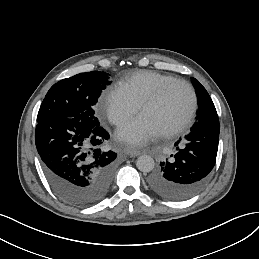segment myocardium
Wrapping results in <instances>:
<instances>
[{
  "label": "myocardium",
  "mask_w": 259,
  "mask_h": 259,
  "mask_svg": "<svg viewBox=\"0 0 259 259\" xmlns=\"http://www.w3.org/2000/svg\"><path fill=\"white\" fill-rule=\"evenodd\" d=\"M177 83L183 84L184 86L187 87V89L189 90L190 95H191V104H190L187 114L173 128H171L163 133H160V136L164 137V138H170V137L177 135L193 119L195 112L197 110V105H198V97H197V93H196L194 86L190 82H188L184 79L175 78V77L171 78V79L163 82L162 84H160L158 86L156 92L151 97L145 99L140 104V108H139V114H140L146 108L156 105L162 99V97L166 93V91L172 85L177 84Z\"/></svg>",
  "instance_id": "myocardium-1"
}]
</instances>
